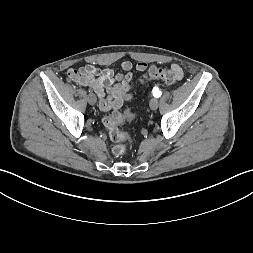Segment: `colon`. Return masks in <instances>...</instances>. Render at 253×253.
I'll use <instances>...</instances> for the list:
<instances>
[{
    "mask_svg": "<svg viewBox=\"0 0 253 253\" xmlns=\"http://www.w3.org/2000/svg\"><path fill=\"white\" fill-rule=\"evenodd\" d=\"M148 79H159L168 85H173L179 82L182 78V71L180 68H156L152 67L147 77ZM139 116L125 111L122 113H115L103 119V124L108 131L109 138L115 142L120 143L130 138V136L120 129V126L125 121H136ZM116 155H122L125 152V146L117 145L113 148Z\"/></svg>",
    "mask_w": 253,
    "mask_h": 253,
    "instance_id": "1",
    "label": "colon"
}]
</instances>
